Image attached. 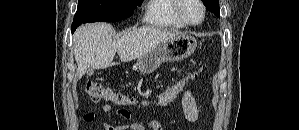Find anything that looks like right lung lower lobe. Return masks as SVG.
<instances>
[{
  "label": "right lung lower lobe",
  "mask_w": 299,
  "mask_h": 130,
  "mask_svg": "<svg viewBox=\"0 0 299 130\" xmlns=\"http://www.w3.org/2000/svg\"><path fill=\"white\" fill-rule=\"evenodd\" d=\"M78 26H79V24L73 22L72 23V32H74Z\"/></svg>",
  "instance_id": "right-lung-lower-lobe-1"
}]
</instances>
